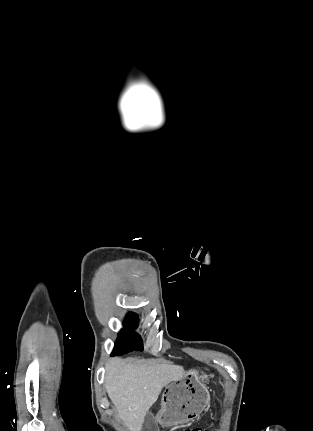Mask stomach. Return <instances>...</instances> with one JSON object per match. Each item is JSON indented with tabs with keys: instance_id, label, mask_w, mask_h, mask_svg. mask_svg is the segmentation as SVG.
<instances>
[{
	"instance_id": "0dacf381",
	"label": "stomach",
	"mask_w": 313,
	"mask_h": 431,
	"mask_svg": "<svg viewBox=\"0 0 313 431\" xmlns=\"http://www.w3.org/2000/svg\"><path fill=\"white\" fill-rule=\"evenodd\" d=\"M206 374L187 372L182 379L172 381L162 395L161 410L157 420L163 426H177L197 418L209 402V392L204 385Z\"/></svg>"
}]
</instances>
